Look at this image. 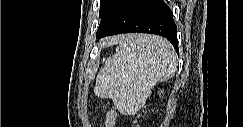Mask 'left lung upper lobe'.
Returning <instances> with one entry per match:
<instances>
[{
  "mask_svg": "<svg viewBox=\"0 0 243 127\" xmlns=\"http://www.w3.org/2000/svg\"><path fill=\"white\" fill-rule=\"evenodd\" d=\"M122 0H100V14L101 22L98 28L106 26V17L119 5Z\"/></svg>",
  "mask_w": 243,
  "mask_h": 127,
  "instance_id": "5c2ea615",
  "label": "left lung upper lobe"
}]
</instances>
